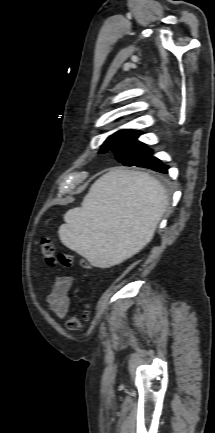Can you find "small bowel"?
<instances>
[{
    "label": "small bowel",
    "instance_id": "1",
    "mask_svg": "<svg viewBox=\"0 0 215 433\" xmlns=\"http://www.w3.org/2000/svg\"><path fill=\"white\" fill-rule=\"evenodd\" d=\"M72 285L73 277L70 275H58L55 277L52 290L47 296V303L57 318H63L69 310V292Z\"/></svg>",
    "mask_w": 215,
    "mask_h": 433
}]
</instances>
